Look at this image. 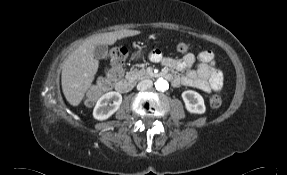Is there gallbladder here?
I'll return each instance as SVG.
<instances>
[{
    "label": "gallbladder",
    "mask_w": 287,
    "mask_h": 175,
    "mask_svg": "<svg viewBox=\"0 0 287 175\" xmlns=\"http://www.w3.org/2000/svg\"><path fill=\"white\" fill-rule=\"evenodd\" d=\"M106 53V48L104 46H97L95 49V57L101 59Z\"/></svg>",
    "instance_id": "bac80fb5"
}]
</instances>
